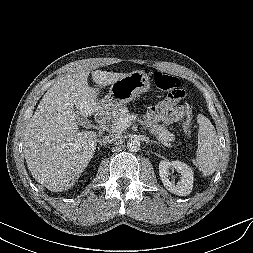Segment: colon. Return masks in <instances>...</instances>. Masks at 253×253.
Wrapping results in <instances>:
<instances>
[{"instance_id":"colon-1","label":"colon","mask_w":253,"mask_h":253,"mask_svg":"<svg viewBox=\"0 0 253 253\" xmlns=\"http://www.w3.org/2000/svg\"><path fill=\"white\" fill-rule=\"evenodd\" d=\"M154 82L159 89L164 90V91H168L169 96L172 98L182 99L185 95L184 91L181 88L180 80L175 76L168 75L163 72H156L154 75ZM186 106H187V108H189L188 105H186ZM185 127L187 129H190V127H191V123H190L189 118L185 122Z\"/></svg>"}]
</instances>
